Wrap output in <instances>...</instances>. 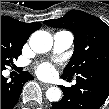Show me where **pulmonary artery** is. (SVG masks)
Segmentation results:
<instances>
[{
    "label": "pulmonary artery",
    "instance_id": "pulmonary-artery-1",
    "mask_svg": "<svg viewBox=\"0 0 109 109\" xmlns=\"http://www.w3.org/2000/svg\"><path fill=\"white\" fill-rule=\"evenodd\" d=\"M74 41V36L70 31L60 30L53 36V51L56 54L62 53L70 48Z\"/></svg>",
    "mask_w": 109,
    "mask_h": 109
}]
</instances>
